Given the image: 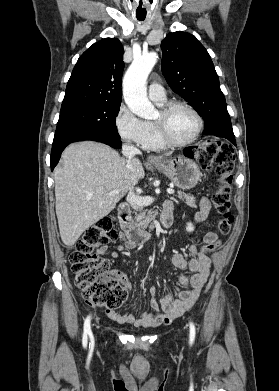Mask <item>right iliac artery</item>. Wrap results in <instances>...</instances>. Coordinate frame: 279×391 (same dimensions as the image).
<instances>
[{"label": "right iliac artery", "mask_w": 279, "mask_h": 391, "mask_svg": "<svg viewBox=\"0 0 279 391\" xmlns=\"http://www.w3.org/2000/svg\"><path fill=\"white\" fill-rule=\"evenodd\" d=\"M90 320H91V318H90V316H88L84 322V333H83V339H82V343H83L84 347L87 346L88 336L90 337L91 345H93V343H94L93 335H92V331H91V327H90Z\"/></svg>", "instance_id": "1"}]
</instances>
